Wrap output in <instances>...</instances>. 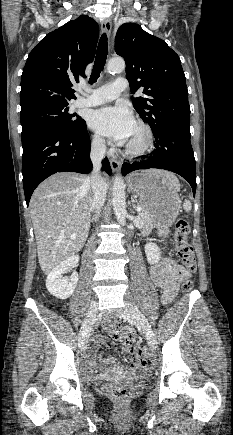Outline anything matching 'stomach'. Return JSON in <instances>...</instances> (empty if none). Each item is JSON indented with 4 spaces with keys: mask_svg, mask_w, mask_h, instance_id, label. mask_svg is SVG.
Wrapping results in <instances>:
<instances>
[{
    "mask_svg": "<svg viewBox=\"0 0 233 435\" xmlns=\"http://www.w3.org/2000/svg\"><path fill=\"white\" fill-rule=\"evenodd\" d=\"M128 186L148 207L153 224L166 232L181 207L177 178L155 170L134 172L128 177Z\"/></svg>",
    "mask_w": 233,
    "mask_h": 435,
    "instance_id": "1",
    "label": "stomach"
}]
</instances>
